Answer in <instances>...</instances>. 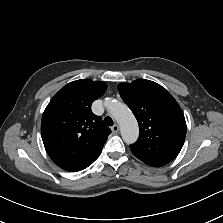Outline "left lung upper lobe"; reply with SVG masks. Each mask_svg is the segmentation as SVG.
<instances>
[{
	"instance_id": "5c2ea615",
	"label": "left lung upper lobe",
	"mask_w": 223,
	"mask_h": 223,
	"mask_svg": "<svg viewBox=\"0 0 223 223\" xmlns=\"http://www.w3.org/2000/svg\"><path fill=\"white\" fill-rule=\"evenodd\" d=\"M118 91L135 115L139 138L132 153L150 166L168 164L179 154L186 136L184 114L161 85L145 79L121 83Z\"/></svg>"
}]
</instances>
